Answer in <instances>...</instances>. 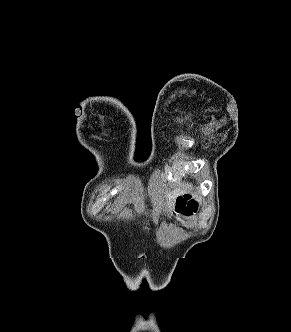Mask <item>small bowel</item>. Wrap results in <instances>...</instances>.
Wrapping results in <instances>:
<instances>
[{
  "instance_id": "small-bowel-1",
  "label": "small bowel",
  "mask_w": 291,
  "mask_h": 332,
  "mask_svg": "<svg viewBox=\"0 0 291 332\" xmlns=\"http://www.w3.org/2000/svg\"><path fill=\"white\" fill-rule=\"evenodd\" d=\"M184 196H186L188 199H191L190 203L194 204L192 207L185 208L184 212H182L183 215L189 216L197 210V204L196 201L192 199L190 195H184Z\"/></svg>"
}]
</instances>
